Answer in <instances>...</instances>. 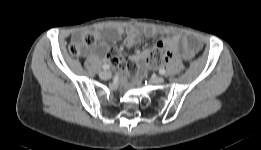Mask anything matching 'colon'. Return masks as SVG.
Masks as SVG:
<instances>
[{"instance_id":"obj_1","label":"colon","mask_w":261,"mask_h":150,"mask_svg":"<svg viewBox=\"0 0 261 150\" xmlns=\"http://www.w3.org/2000/svg\"><path fill=\"white\" fill-rule=\"evenodd\" d=\"M96 43V35L92 32L84 33L80 39L74 41L69 46V52L74 57H80L84 51L93 47ZM174 52L167 46L165 42H158L150 51H148L141 69L142 76L147 67H157L174 57Z\"/></svg>"}]
</instances>
